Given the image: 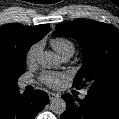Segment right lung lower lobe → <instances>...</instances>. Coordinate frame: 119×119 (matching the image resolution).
<instances>
[{"instance_id": "98d812e1", "label": "right lung lower lobe", "mask_w": 119, "mask_h": 119, "mask_svg": "<svg viewBox=\"0 0 119 119\" xmlns=\"http://www.w3.org/2000/svg\"><path fill=\"white\" fill-rule=\"evenodd\" d=\"M48 101L44 91L25 92L23 95L18 91L0 107V119H34Z\"/></svg>"}]
</instances>
